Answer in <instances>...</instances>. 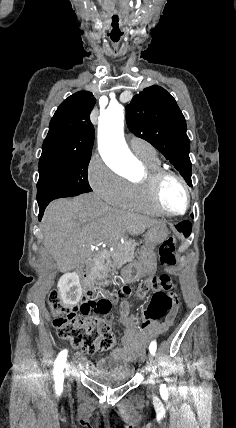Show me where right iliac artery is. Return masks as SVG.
Returning <instances> with one entry per match:
<instances>
[{"label":"right iliac artery","mask_w":236,"mask_h":428,"mask_svg":"<svg viewBox=\"0 0 236 428\" xmlns=\"http://www.w3.org/2000/svg\"><path fill=\"white\" fill-rule=\"evenodd\" d=\"M67 353L68 351L66 349L59 353L57 359L54 362V374H63V370L65 368L67 360Z\"/></svg>","instance_id":"right-iliac-artery-1"}]
</instances>
